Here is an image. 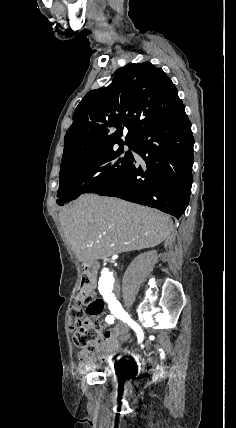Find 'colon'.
I'll return each instance as SVG.
<instances>
[{
    "instance_id": "obj_1",
    "label": "colon",
    "mask_w": 236,
    "mask_h": 428,
    "mask_svg": "<svg viewBox=\"0 0 236 428\" xmlns=\"http://www.w3.org/2000/svg\"><path fill=\"white\" fill-rule=\"evenodd\" d=\"M103 311L100 299H91L90 281L83 276L67 317V329L73 333L76 346L89 352L97 351L102 344L101 325L96 319Z\"/></svg>"
}]
</instances>
